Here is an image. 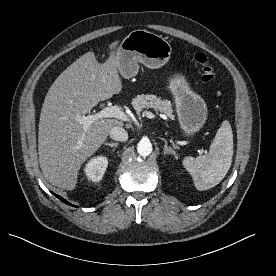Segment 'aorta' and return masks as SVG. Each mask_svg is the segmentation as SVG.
Wrapping results in <instances>:
<instances>
[{"label":"aorta","instance_id":"obj_1","mask_svg":"<svg viewBox=\"0 0 276 276\" xmlns=\"http://www.w3.org/2000/svg\"><path fill=\"white\" fill-rule=\"evenodd\" d=\"M137 152L141 156H148L152 152V144L149 140H141L137 145Z\"/></svg>","mask_w":276,"mask_h":276}]
</instances>
